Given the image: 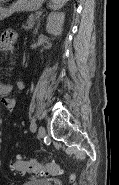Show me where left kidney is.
<instances>
[{"label":"left kidney","mask_w":119,"mask_h":185,"mask_svg":"<svg viewBox=\"0 0 119 185\" xmlns=\"http://www.w3.org/2000/svg\"><path fill=\"white\" fill-rule=\"evenodd\" d=\"M65 14L62 12H52L47 17L46 31L54 36L62 33Z\"/></svg>","instance_id":"1"}]
</instances>
